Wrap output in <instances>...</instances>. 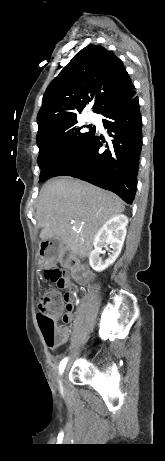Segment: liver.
Wrapping results in <instances>:
<instances>
[{
    "mask_svg": "<svg viewBox=\"0 0 165 461\" xmlns=\"http://www.w3.org/2000/svg\"><path fill=\"white\" fill-rule=\"evenodd\" d=\"M125 207L115 194L71 177L49 180L42 188L36 219L40 238H61L80 258L89 255L100 227Z\"/></svg>",
    "mask_w": 165,
    "mask_h": 461,
    "instance_id": "obj_1",
    "label": "liver"
}]
</instances>
